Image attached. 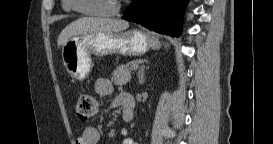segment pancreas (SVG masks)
Returning a JSON list of instances; mask_svg holds the SVG:
<instances>
[{"mask_svg": "<svg viewBox=\"0 0 273 144\" xmlns=\"http://www.w3.org/2000/svg\"><path fill=\"white\" fill-rule=\"evenodd\" d=\"M134 65H135L134 63H127L124 65L118 66L112 73L111 81L115 85H119V86H122L128 83L131 79L130 70L132 69Z\"/></svg>", "mask_w": 273, "mask_h": 144, "instance_id": "1", "label": "pancreas"}]
</instances>
